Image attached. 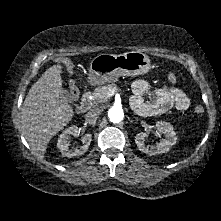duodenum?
<instances>
[{
    "label": "duodenum",
    "mask_w": 221,
    "mask_h": 221,
    "mask_svg": "<svg viewBox=\"0 0 221 221\" xmlns=\"http://www.w3.org/2000/svg\"><path fill=\"white\" fill-rule=\"evenodd\" d=\"M91 106L92 103L90 99V94L89 92H85L81 98L80 110L81 112L85 113L90 110Z\"/></svg>",
    "instance_id": "duodenum-1"
}]
</instances>
